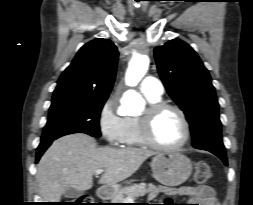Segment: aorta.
<instances>
[{
  "label": "aorta",
  "mask_w": 253,
  "mask_h": 205,
  "mask_svg": "<svg viewBox=\"0 0 253 205\" xmlns=\"http://www.w3.org/2000/svg\"><path fill=\"white\" fill-rule=\"evenodd\" d=\"M148 66L149 58L147 55L142 53L134 54L127 70L126 83L129 86H136L147 72ZM128 98L129 100L125 103L127 111H135L142 104L140 95L132 90L128 92Z\"/></svg>",
  "instance_id": "762f6f07"
}]
</instances>
